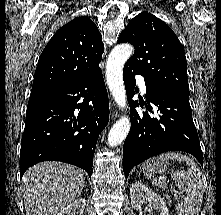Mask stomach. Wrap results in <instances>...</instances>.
<instances>
[{
    "label": "stomach",
    "mask_w": 221,
    "mask_h": 215,
    "mask_svg": "<svg viewBox=\"0 0 221 215\" xmlns=\"http://www.w3.org/2000/svg\"><path fill=\"white\" fill-rule=\"evenodd\" d=\"M167 165L168 163L163 160L162 156L149 160L143 164L144 176L149 179L154 178L155 176L162 178L164 172L168 169Z\"/></svg>",
    "instance_id": "obj_1"
}]
</instances>
